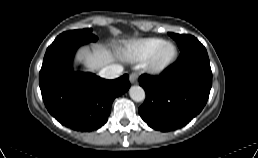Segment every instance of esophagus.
<instances>
[{
  "instance_id": "esophagus-1",
  "label": "esophagus",
  "mask_w": 258,
  "mask_h": 158,
  "mask_svg": "<svg viewBox=\"0 0 258 158\" xmlns=\"http://www.w3.org/2000/svg\"><path fill=\"white\" fill-rule=\"evenodd\" d=\"M130 82L132 83V84H135V83H137L138 82V74L137 73H132L131 75H130Z\"/></svg>"
}]
</instances>
